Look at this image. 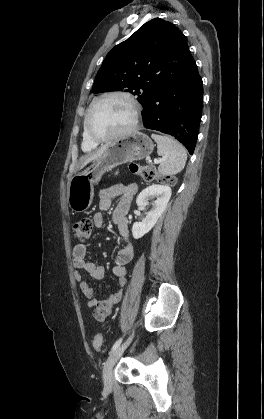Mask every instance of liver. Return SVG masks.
I'll return each instance as SVG.
<instances>
[{"label":"liver","instance_id":"obj_1","mask_svg":"<svg viewBox=\"0 0 264 419\" xmlns=\"http://www.w3.org/2000/svg\"><path fill=\"white\" fill-rule=\"evenodd\" d=\"M108 144L103 145L101 148H99L97 151L90 153L86 156L83 157L82 159V163H81V167L80 168H84L89 162L94 161L95 159H97L98 157H100L105 150L107 149Z\"/></svg>","mask_w":264,"mask_h":419}]
</instances>
